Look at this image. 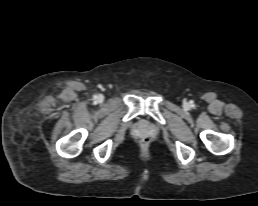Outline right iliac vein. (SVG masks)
Returning a JSON list of instances; mask_svg holds the SVG:
<instances>
[{"mask_svg":"<svg viewBox=\"0 0 258 206\" xmlns=\"http://www.w3.org/2000/svg\"><path fill=\"white\" fill-rule=\"evenodd\" d=\"M103 97L102 96H98V101H102Z\"/></svg>","mask_w":258,"mask_h":206,"instance_id":"right-iliac-vein-1","label":"right iliac vein"}]
</instances>
